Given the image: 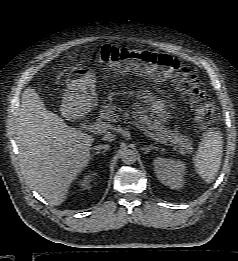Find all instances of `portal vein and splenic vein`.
Here are the masks:
<instances>
[{
  "label": "portal vein and splenic vein",
  "instance_id": "obj_1",
  "mask_svg": "<svg viewBox=\"0 0 238 261\" xmlns=\"http://www.w3.org/2000/svg\"><path fill=\"white\" fill-rule=\"evenodd\" d=\"M133 123L134 125H136L137 128H139L141 131H143V133L145 135H147L148 137H150L151 139L157 141V142H160V143H163V144H166L167 142L158 138L154 133L150 132L146 127H144L143 125H140L138 124L137 122H131ZM89 131L94 133V134H103V133H106L107 130H111V129H114V127L107 123V122H95V123H92L90 126H89Z\"/></svg>",
  "mask_w": 238,
  "mask_h": 261
}]
</instances>
